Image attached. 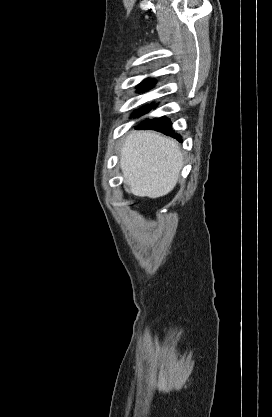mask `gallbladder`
<instances>
[{
    "instance_id": "bac80fb5",
    "label": "gallbladder",
    "mask_w": 272,
    "mask_h": 417,
    "mask_svg": "<svg viewBox=\"0 0 272 417\" xmlns=\"http://www.w3.org/2000/svg\"><path fill=\"white\" fill-rule=\"evenodd\" d=\"M125 189L129 192V191H130V186L127 184V185L125 186Z\"/></svg>"
}]
</instances>
